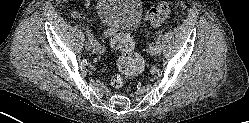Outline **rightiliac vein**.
Returning <instances> with one entry per match:
<instances>
[{"label":"right iliac vein","instance_id":"1","mask_svg":"<svg viewBox=\"0 0 249 123\" xmlns=\"http://www.w3.org/2000/svg\"><path fill=\"white\" fill-rule=\"evenodd\" d=\"M85 48H86L88 51L92 50L93 45L91 44V42H90L89 40H87V41L85 42Z\"/></svg>","mask_w":249,"mask_h":123}]
</instances>
